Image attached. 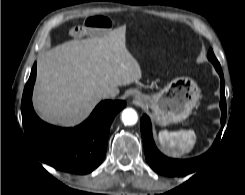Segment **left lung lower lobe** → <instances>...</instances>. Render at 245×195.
Instances as JSON below:
<instances>
[{"mask_svg":"<svg viewBox=\"0 0 245 195\" xmlns=\"http://www.w3.org/2000/svg\"><path fill=\"white\" fill-rule=\"evenodd\" d=\"M216 71L220 75L221 79V100H220V108L222 111L221 124L222 127L225 124L226 120V99H225V86H224V78L223 72L221 70V66H215ZM141 134L144 143L145 157L150 165V167L157 173L165 175V176H185L194 172L197 168L199 162L209 153V151L203 156H199L193 159L187 160H177L164 156L162 153L158 151L156 148L153 137H152V127L150 119L144 115L141 118ZM220 133L218 134L215 144L218 142ZM213 148V147H212Z\"/></svg>","mask_w":245,"mask_h":195,"instance_id":"left-lung-lower-lobe-1","label":"left lung lower lobe"}]
</instances>
